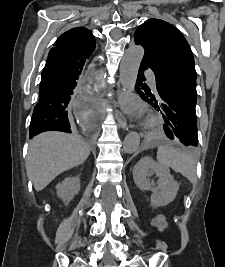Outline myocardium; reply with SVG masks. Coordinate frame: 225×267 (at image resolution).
I'll list each match as a JSON object with an SVG mask.
<instances>
[{
	"mask_svg": "<svg viewBox=\"0 0 225 267\" xmlns=\"http://www.w3.org/2000/svg\"><path fill=\"white\" fill-rule=\"evenodd\" d=\"M157 124H158V120L154 116H151L147 121V126L148 127H154Z\"/></svg>",
	"mask_w": 225,
	"mask_h": 267,
	"instance_id": "f54148a6",
	"label": "myocardium"
}]
</instances>
